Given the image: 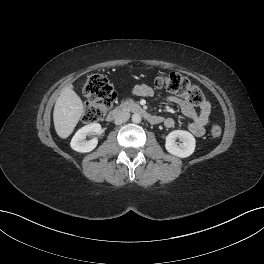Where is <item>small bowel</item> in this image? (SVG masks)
<instances>
[{
    "mask_svg": "<svg viewBox=\"0 0 264 264\" xmlns=\"http://www.w3.org/2000/svg\"><path fill=\"white\" fill-rule=\"evenodd\" d=\"M133 94L140 97H151L153 95V89L146 84H139L134 87ZM165 101L178 106L180 114L189 120L188 129L193 135L200 137L205 133V128L210 122L211 115V105L208 101H203L199 105V111L184 99L176 96H167ZM164 125L167 128L174 127L176 125L175 118H166Z\"/></svg>",
    "mask_w": 264,
    "mask_h": 264,
    "instance_id": "small-bowel-1",
    "label": "small bowel"
}]
</instances>
